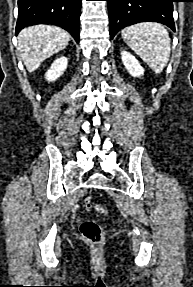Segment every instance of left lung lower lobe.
Segmentation results:
<instances>
[{"label": "left lung lower lobe", "mask_w": 193, "mask_h": 287, "mask_svg": "<svg viewBox=\"0 0 193 287\" xmlns=\"http://www.w3.org/2000/svg\"><path fill=\"white\" fill-rule=\"evenodd\" d=\"M109 9L111 39L122 28L146 21L167 25L175 31L173 2L175 0H106Z\"/></svg>", "instance_id": "1"}]
</instances>
